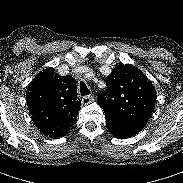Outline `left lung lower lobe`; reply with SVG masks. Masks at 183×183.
Listing matches in <instances>:
<instances>
[{
    "instance_id": "obj_1",
    "label": "left lung lower lobe",
    "mask_w": 183,
    "mask_h": 183,
    "mask_svg": "<svg viewBox=\"0 0 183 183\" xmlns=\"http://www.w3.org/2000/svg\"><path fill=\"white\" fill-rule=\"evenodd\" d=\"M106 126L108 130L116 138H119V139H126L129 137H132L135 134H137L140 130H142V127L140 126L127 125V124L116 122L111 119H106Z\"/></svg>"
}]
</instances>
